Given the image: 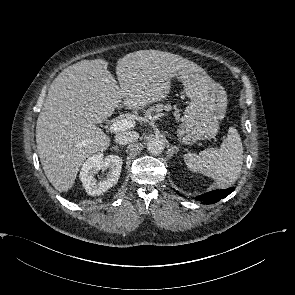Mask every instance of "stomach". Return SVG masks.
<instances>
[{
  "label": "stomach",
  "mask_w": 295,
  "mask_h": 295,
  "mask_svg": "<svg viewBox=\"0 0 295 295\" xmlns=\"http://www.w3.org/2000/svg\"><path fill=\"white\" fill-rule=\"evenodd\" d=\"M181 81L190 103L177 129L180 141L191 145L198 140L214 138L219 121L226 112L227 95L224 88L201 72L190 73Z\"/></svg>",
  "instance_id": "stomach-1"
}]
</instances>
